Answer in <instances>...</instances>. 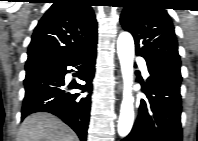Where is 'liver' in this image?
Masks as SVG:
<instances>
[{"instance_id": "1", "label": "liver", "mask_w": 198, "mask_h": 141, "mask_svg": "<svg viewBox=\"0 0 198 141\" xmlns=\"http://www.w3.org/2000/svg\"><path fill=\"white\" fill-rule=\"evenodd\" d=\"M18 141H78L74 131L49 113H35L24 119Z\"/></svg>"}]
</instances>
